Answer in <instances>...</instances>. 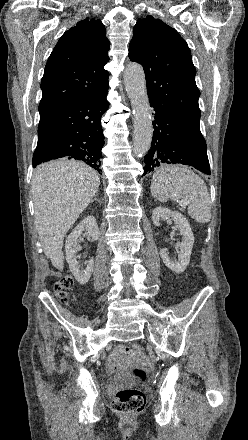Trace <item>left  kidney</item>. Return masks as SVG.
Listing matches in <instances>:
<instances>
[{
  "label": "left kidney",
  "instance_id": "obj_1",
  "mask_svg": "<svg viewBox=\"0 0 248 440\" xmlns=\"http://www.w3.org/2000/svg\"><path fill=\"white\" fill-rule=\"evenodd\" d=\"M172 218L176 226L180 229V233L183 236L180 244L179 259H171L166 249L160 250V256L164 264L175 273H182L185 271L187 265L190 262V256L192 247L194 244V235L189 225L188 220L178 211H171L167 208L158 207L153 210L152 221L155 226H160L161 220H167Z\"/></svg>",
  "mask_w": 248,
  "mask_h": 440
}]
</instances>
